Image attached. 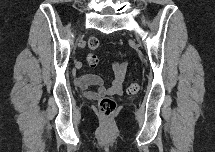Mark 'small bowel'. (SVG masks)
Listing matches in <instances>:
<instances>
[{"instance_id":"c3829d8e","label":"small bowel","mask_w":215,"mask_h":152,"mask_svg":"<svg viewBox=\"0 0 215 152\" xmlns=\"http://www.w3.org/2000/svg\"><path fill=\"white\" fill-rule=\"evenodd\" d=\"M113 71L114 77L110 86H106L104 80L96 74H86L78 77L75 81L76 86L90 100H96L105 95L120 94L126 73V63L114 62Z\"/></svg>"}]
</instances>
